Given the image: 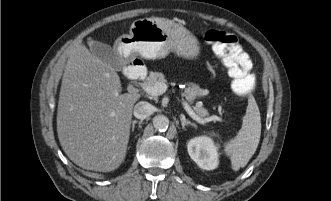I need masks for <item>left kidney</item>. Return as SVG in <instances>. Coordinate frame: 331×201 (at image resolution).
<instances>
[{
	"label": "left kidney",
	"mask_w": 331,
	"mask_h": 201,
	"mask_svg": "<svg viewBox=\"0 0 331 201\" xmlns=\"http://www.w3.org/2000/svg\"><path fill=\"white\" fill-rule=\"evenodd\" d=\"M193 161L202 169L213 170L218 166V152L211 138L206 136L191 139L187 145Z\"/></svg>",
	"instance_id": "obj_1"
}]
</instances>
